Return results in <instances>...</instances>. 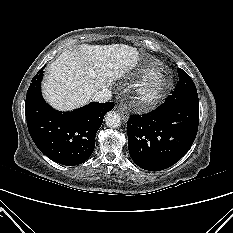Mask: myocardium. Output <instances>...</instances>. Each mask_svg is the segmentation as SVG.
<instances>
[{
  "label": "myocardium",
  "mask_w": 233,
  "mask_h": 233,
  "mask_svg": "<svg viewBox=\"0 0 233 233\" xmlns=\"http://www.w3.org/2000/svg\"><path fill=\"white\" fill-rule=\"evenodd\" d=\"M167 86V79L162 73L152 72L139 88L141 103L147 107L155 105L163 97Z\"/></svg>",
  "instance_id": "1"
}]
</instances>
